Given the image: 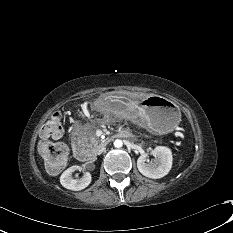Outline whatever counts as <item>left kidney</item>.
<instances>
[{
	"mask_svg": "<svg viewBox=\"0 0 233 233\" xmlns=\"http://www.w3.org/2000/svg\"><path fill=\"white\" fill-rule=\"evenodd\" d=\"M151 154L155 159L146 162L147 154H142L137 159V167L140 173L148 178L159 179L169 173L172 167V152L168 147L157 146Z\"/></svg>",
	"mask_w": 233,
	"mask_h": 233,
	"instance_id": "5707ae66",
	"label": "left kidney"
}]
</instances>
